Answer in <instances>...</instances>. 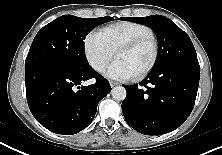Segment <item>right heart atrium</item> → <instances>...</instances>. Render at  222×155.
I'll return each instance as SVG.
<instances>
[{"label":"right heart atrium","instance_id":"1","mask_svg":"<svg viewBox=\"0 0 222 155\" xmlns=\"http://www.w3.org/2000/svg\"><path fill=\"white\" fill-rule=\"evenodd\" d=\"M84 51L89 64L97 72H102L115 55V51L98 31H92L85 37Z\"/></svg>","mask_w":222,"mask_h":155}]
</instances>
